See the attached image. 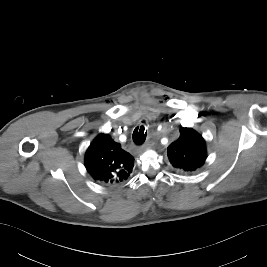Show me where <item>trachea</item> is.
Here are the masks:
<instances>
[{
  "mask_svg": "<svg viewBox=\"0 0 267 267\" xmlns=\"http://www.w3.org/2000/svg\"><path fill=\"white\" fill-rule=\"evenodd\" d=\"M146 139L145 127L142 125L140 127L135 128L133 132V141L137 145H141L144 143Z\"/></svg>",
  "mask_w": 267,
  "mask_h": 267,
  "instance_id": "trachea-1",
  "label": "trachea"
}]
</instances>
